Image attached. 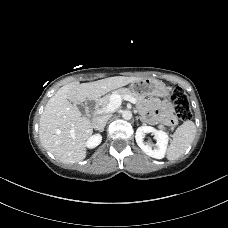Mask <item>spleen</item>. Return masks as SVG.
Wrapping results in <instances>:
<instances>
[{
	"label": "spleen",
	"mask_w": 228,
	"mask_h": 228,
	"mask_svg": "<svg viewBox=\"0 0 228 228\" xmlns=\"http://www.w3.org/2000/svg\"><path fill=\"white\" fill-rule=\"evenodd\" d=\"M196 135V126L191 120L185 121L173 134V140L167 150L168 160H176L192 144Z\"/></svg>",
	"instance_id": "spleen-1"
}]
</instances>
